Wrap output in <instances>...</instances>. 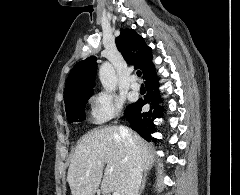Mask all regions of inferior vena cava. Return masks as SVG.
Returning a JSON list of instances; mask_svg holds the SVG:
<instances>
[{
	"mask_svg": "<svg viewBox=\"0 0 240 195\" xmlns=\"http://www.w3.org/2000/svg\"><path fill=\"white\" fill-rule=\"evenodd\" d=\"M119 133L124 139V145H126L127 149H129V177L127 179V189L125 191V195H138L143 171L139 149L135 143V139L130 137L128 129H125V127H120Z\"/></svg>",
	"mask_w": 240,
	"mask_h": 195,
	"instance_id": "obj_1",
	"label": "inferior vena cava"
}]
</instances>
